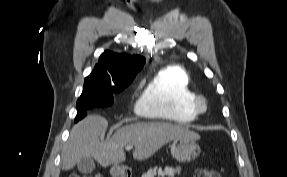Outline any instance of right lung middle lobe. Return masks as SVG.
<instances>
[{
    "mask_svg": "<svg viewBox=\"0 0 287 177\" xmlns=\"http://www.w3.org/2000/svg\"><path fill=\"white\" fill-rule=\"evenodd\" d=\"M132 81L123 82L112 86H104L100 83L85 79L84 89L77 101V110L86 111L94 107H108L113 104V93H119L124 90ZM75 118V122L84 116L79 114Z\"/></svg>",
    "mask_w": 287,
    "mask_h": 177,
    "instance_id": "dd1d6c3e",
    "label": "right lung middle lobe"
}]
</instances>
